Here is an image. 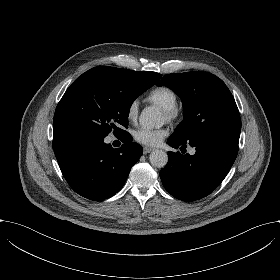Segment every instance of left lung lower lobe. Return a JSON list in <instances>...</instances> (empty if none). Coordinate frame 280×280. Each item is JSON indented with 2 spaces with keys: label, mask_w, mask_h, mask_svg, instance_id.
I'll list each match as a JSON object with an SVG mask.
<instances>
[{
  "label": "left lung lower lobe",
  "mask_w": 280,
  "mask_h": 280,
  "mask_svg": "<svg viewBox=\"0 0 280 280\" xmlns=\"http://www.w3.org/2000/svg\"><path fill=\"white\" fill-rule=\"evenodd\" d=\"M240 132H218L187 141L170 136L167 143L181 150L188 143L194 155L169 152L167 165L160 171L165 189L175 198L192 202L212 193L228 174L237 153ZM184 153V152H183Z\"/></svg>",
  "instance_id": "left-lung-lower-lobe-1"
}]
</instances>
